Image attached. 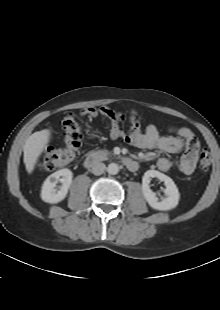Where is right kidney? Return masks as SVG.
Here are the masks:
<instances>
[{
    "label": "right kidney",
    "instance_id": "obj_1",
    "mask_svg": "<svg viewBox=\"0 0 220 310\" xmlns=\"http://www.w3.org/2000/svg\"><path fill=\"white\" fill-rule=\"evenodd\" d=\"M73 173L71 170L64 168L49 175L43 182L41 189V199L44 202L55 204L61 202L67 196L71 186ZM62 183L57 186V183Z\"/></svg>",
    "mask_w": 220,
    "mask_h": 310
}]
</instances>
